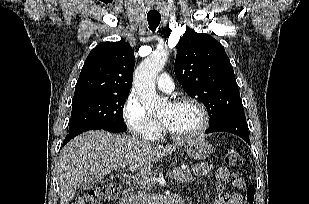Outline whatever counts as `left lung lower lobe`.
<instances>
[{
	"instance_id": "1",
	"label": "left lung lower lobe",
	"mask_w": 309,
	"mask_h": 204,
	"mask_svg": "<svg viewBox=\"0 0 309 204\" xmlns=\"http://www.w3.org/2000/svg\"><path fill=\"white\" fill-rule=\"evenodd\" d=\"M221 131L236 134L240 136L242 139H244L250 145L247 122L244 111L230 113L219 118L213 124H210V128L206 132L212 133Z\"/></svg>"
}]
</instances>
